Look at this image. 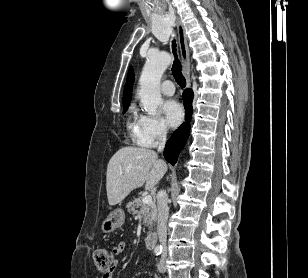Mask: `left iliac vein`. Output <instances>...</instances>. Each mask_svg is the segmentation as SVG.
Returning a JSON list of instances; mask_svg holds the SVG:
<instances>
[{
  "label": "left iliac vein",
  "mask_w": 308,
  "mask_h": 278,
  "mask_svg": "<svg viewBox=\"0 0 308 278\" xmlns=\"http://www.w3.org/2000/svg\"><path fill=\"white\" fill-rule=\"evenodd\" d=\"M158 270L161 273H165L167 271V267H166V253L162 254V257L158 263Z\"/></svg>",
  "instance_id": "obj_1"
}]
</instances>
